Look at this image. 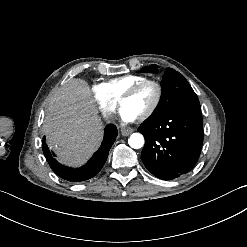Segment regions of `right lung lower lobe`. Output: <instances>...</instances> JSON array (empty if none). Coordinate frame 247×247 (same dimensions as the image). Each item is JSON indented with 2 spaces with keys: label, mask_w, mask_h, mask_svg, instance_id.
<instances>
[{
  "label": "right lung lower lobe",
  "mask_w": 247,
  "mask_h": 247,
  "mask_svg": "<svg viewBox=\"0 0 247 247\" xmlns=\"http://www.w3.org/2000/svg\"><path fill=\"white\" fill-rule=\"evenodd\" d=\"M116 137V126L113 124L107 125L103 142L98 151L84 166L75 169L64 166L55 159L54 153L49 150L45 143V137H43L42 148L48 164L59 177L67 181L80 182L94 177L102 169Z\"/></svg>",
  "instance_id": "obj_1"
}]
</instances>
